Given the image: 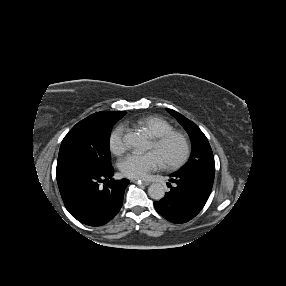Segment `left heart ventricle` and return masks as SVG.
Listing matches in <instances>:
<instances>
[{"mask_svg":"<svg viewBox=\"0 0 286 286\" xmlns=\"http://www.w3.org/2000/svg\"><path fill=\"white\" fill-rule=\"evenodd\" d=\"M148 150L156 153L162 165H167L179 160L185 152V141L181 137H173L162 145H157L154 140Z\"/></svg>","mask_w":286,"mask_h":286,"instance_id":"1","label":"left heart ventricle"}]
</instances>
